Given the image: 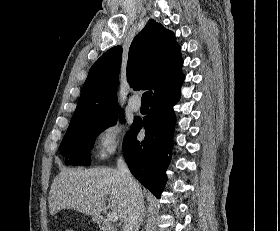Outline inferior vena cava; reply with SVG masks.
<instances>
[{"label":"inferior vena cava","mask_w":280,"mask_h":231,"mask_svg":"<svg viewBox=\"0 0 280 231\" xmlns=\"http://www.w3.org/2000/svg\"><path fill=\"white\" fill-rule=\"evenodd\" d=\"M118 171L123 177L124 183H127L131 195L130 209L128 217L123 223L122 231H138L139 221L144 215V199L140 183L132 177L122 155L117 159Z\"/></svg>","instance_id":"obj_1"}]
</instances>
